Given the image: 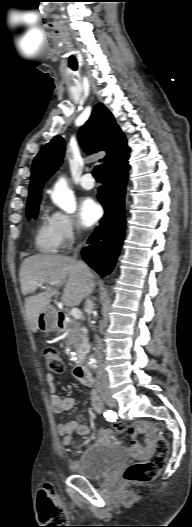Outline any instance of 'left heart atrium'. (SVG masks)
<instances>
[{"mask_svg": "<svg viewBox=\"0 0 192 527\" xmlns=\"http://www.w3.org/2000/svg\"><path fill=\"white\" fill-rule=\"evenodd\" d=\"M101 214V207L93 198L86 197L81 201L79 216L85 226H92L98 221Z\"/></svg>", "mask_w": 192, "mask_h": 527, "instance_id": "left-heart-atrium-1", "label": "left heart atrium"}]
</instances>
